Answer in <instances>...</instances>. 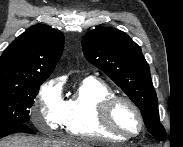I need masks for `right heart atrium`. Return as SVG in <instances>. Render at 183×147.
<instances>
[{
    "instance_id": "d8ad5b80",
    "label": "right heart atrium",
    "mask_w": 183,
    "mask_h": 147,
    "mask_svg": "<svg viewBox=\"0 0 183 147\" xmlns=\"http://www.w3.org/2000/svg\"><path fill=\"white\" fill-rule=\"evenodd\" d=\"M62 91L63 85L59 79H51L42 84L38 93L36 122L41 121L51 129L62 125L65 108Z\"/></svg>"
}]
</instances>
